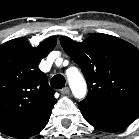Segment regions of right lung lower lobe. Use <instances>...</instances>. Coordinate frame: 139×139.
I'll return each instance as SVG.
<instances>
[{"label":"right lung lower lobe","mask_w":139,"mask_h":139,"mask_svg":"<svg viewBox=\"0 0 139 139\" xmlns=\"http://www.w3.org/2000/svg\"><path fill=\"white\" fill-rule=\"evenodd\" d=\"M50 118V114L47 115L44 119H42L40 122H38L37 124L33 125L32 127L14 135L17 138H21V139H25L28 137H31L37 133H39L48 123Z\"/></svg>","instance_id":"obj_1"}]
</instances>
